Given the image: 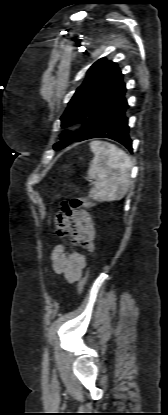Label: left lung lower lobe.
Instances as JSON below:
<instances>
[{"instance_id": "obj_1", "label": "left lung lower lobe", "mask_w": 168, "mask_h": 415, "mask_svg": "<svg viewBox=\"0 0 168 415\" xmlns=\"http://www.w3.org/2000/svg\"><path fill=\"white\" fill-rule=\"evenodd\" d=\"M126 89L109 102L101 113L89 125L79 141L104 137L118 141L132 152V141L129 137V126L126 111L128 103L125 99Z\"/></svg>"}]
</instances>
